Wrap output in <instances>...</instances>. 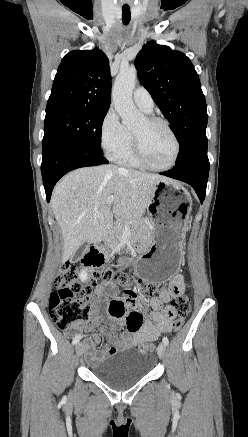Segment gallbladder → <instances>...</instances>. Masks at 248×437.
Returning <instances> with one entry per match:
<instances>
[{"instance_id":"gallbladder-1","label":"gallbladder","mask_w":248,"mask_h":437,"mask_svg":"<svg viewBox=\"0 0 248 437\" xmlns=\"http://www.w3.org/2000/svg\"><path fill=\"white\" fill-rule=\"evenodd\" d=\"M87 245L83 244L79 247V249L77 250V252L74 255V259L78 260L80 257H82V255L84 254L85 250H86Z\"/></svg>"}]
</instances>
